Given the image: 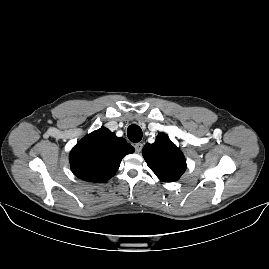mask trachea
Instances as JSON below:
<instances>
[{"label":"trachea","mask_w":269,"mask_h":269,"mask_svg":"<svg viewBox=\"0 0 269 269\" xmlns=\"http://www.w3.org/2000/svg\"><path fill=\"white\" fill-rule=\"evenodd\" d=\"M127 135L130 141L137 143L141 141L143 133L139 126L133 124L128 127Z\"/></svg>","instance_id":"1"}]
</instances>
